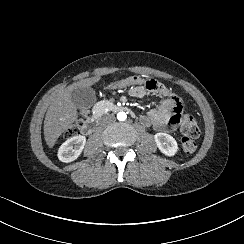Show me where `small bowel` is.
I'll list each match as a JSON object with an SVG mask.
<instances>
[{
    "label": "small bowel",
    "mask_w": 244,
    "mask_h": 244,
    "mask_svg": "<svg viewBox=\"0 0 244 244\" xmlns=\"http://www.w3.org/2000/svg\"><path fill=\"white\" fill-rule=\"evenodd\" d=\"M129 95L136 98H143L149 94L159 97L157 109L141 114L138 117L140 124L144 127L154 126L161 132L168 131L169 127L178 123L182 112V102L176 94L164 84L156 81L153 85L145 86L128 91Z\"/></svg>",
    "instance_id": "1"
}]
</instances>
